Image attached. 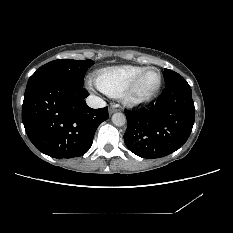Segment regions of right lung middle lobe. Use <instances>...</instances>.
<instances>
[{
    "mask_svg": "<svg viewBox=\"0 0 233 233\" xmlns=\"http://www.w3.org/2000/svg\"><path fill=\"white\" fill-rule=\"evenodd\" d=\"M94 61L58 59L51 61L35 71L29 78L27 86L47 79H60L83 86L85 73Z\"/></svg>",
    "mask_w": 233,
    "mask_h": 233,
    "instance_id": "obj_1",
    "label": "right lung middle lobe"
}]
</instances>
